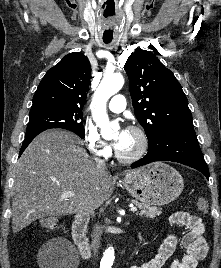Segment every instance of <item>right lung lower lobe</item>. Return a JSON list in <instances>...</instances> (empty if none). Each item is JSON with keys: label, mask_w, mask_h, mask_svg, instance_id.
<instances>
[{"label": "right lung lower lobe", "mask_w": 221, "mask_h": 268, "mask_svg": "<svg viewBox=\"0 0 221 268\" xmlns=\"http://www.w3.org/2000/svg\"><path fill=\"white\" fill-rule=\"evenodd\" d=\"M44 130H34V131H29L25 133V139L23 142V145L20 149V155L23 153V151L26 149V147L29 145V143L39 134Z\"/></svg>", "instance_id": "right-lung-lower-lobe-1"}]
</instances>
